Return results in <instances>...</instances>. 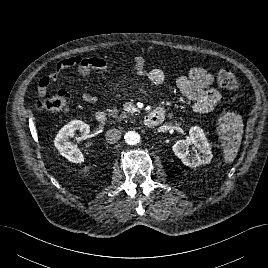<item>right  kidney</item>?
I'll list each match as a JSON object with an SVG mask.
<instances>
[{"label":"right kidney","instance_id":"1","mask_svg":"<svg viewBox=\"0 0 268 268\" xmlns=\"http://www.w3.org/2000/svg\"><path fill=\"white\" fill-rule=\"evenodd\" d=\"M77 130L82 134L80 137L81 140L88 138L90 133L89 125L80 120H73L59 130L55 137L54 145L60 154L70 162L83 163L85 159L84 155L77 148V145L69 141V137H73Z\"/></svg>","mask_w":268,"mask_h":268}]
</instances>
